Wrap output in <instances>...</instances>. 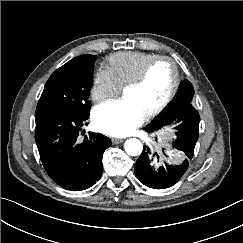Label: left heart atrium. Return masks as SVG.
Masks as SVG:
<instances>
[{
  "label": "left heart atrium",
  "instance_id": "left-heart-atrium-1",
  "mask_svg": "<svg viewBox=\"0 0 243 243\" xmlns=\"http://www.w3.org/2000/svg\"><path fill=\"white\" fill-rule=\"evenodd\" d=\"M145 119V115L130 100H116L105 103L93 111L94 127L109 136L130 135Z\"/></svg>",
  "mask_w": 243,
  "mask_h": 243
}]
</instances>
